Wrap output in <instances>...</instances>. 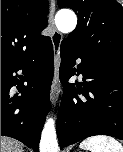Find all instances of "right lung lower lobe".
Returning a JSON list of instances; mask_svg holds the SVG:
<instances>
[{"label":"right lung lower lobe","instance_id":"1","mask_svg":"<svg viewBox=\"0 0 123 152\" xmlns=\"http://www.w3.org/2000/svg\"><path fill=\"white\" fill-rule=\"evenodd\" d=\"M19 70H23L24 79L13 75ZM53 74L50 38L24 60L14 64L1 63V136L15 138L38 152L40 133L49 111ZM24 81L27 86L22 85ZM15 85L19 96L11 92Z\"/></svg>","mask_w":123,"mask_h":152}]
</instances>
